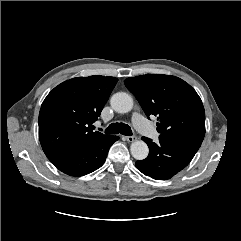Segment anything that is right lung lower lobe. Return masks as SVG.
Listing matches in <instances>:
<instances>
[{
	"mask_svg": "<svg viewBox=\"0 0 241 241\" xmlns=\"http://www.w3.org/2000/svg\"><path fill=\"white\" fill-rule=\"evenodd\" d=\"M118 139L119 137L108 135L90 146L60 153L49 160L67 175L83 176L103 165L109 148Z\"/></svg>",
	"mask_w": 241,
	"mask_h": 241,
	"instance_id": "98d812e1",
	"label": "right lung lower lobe"
}]
</instances>
